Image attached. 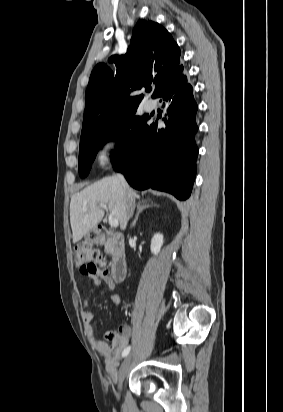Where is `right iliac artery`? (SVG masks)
<instances>
[{
    "label": "right iliac artery",
    "mask_w": 283,
    "mask_h": 412,
    "mask_svg": "<svg viewBox=\"0 0 283 412\" xmlns=\"http://www.w3.org/2000/svg\"><path fill=\"white\" fill-rule=\"evenodd\" d=\"M130 350H131V347L128 346V347L123 351L122 356H123V357H126V356L129 354Z\"/></svg>",
    "instance_id": "right-iliac-artery-1"
}]
</instances>
